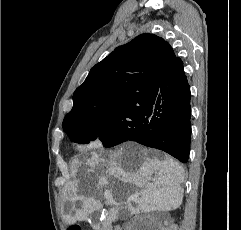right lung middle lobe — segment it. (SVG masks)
Wrapping results in <instances>:
<instances>
[{
    "label": "right lung middle lobe",
    "instance_id": "dd1d6c3e",
    "mask_svg": "<svg viewBox=\"0 0 241 230\" xmlns=\"http://www.w3.org/2000/svg\"><path fill=\"white\" fill-rule=\"evenodd\" d=\"M147 103L134 108L112 109L107 118L79 122L67 134L76 143L86 144L99 137L105 147L115 146L126 141L132 133H141L148 126Z\"/></svg>",
    "mask_w": 241,
    "mask_h": 230
}]
</instances>
